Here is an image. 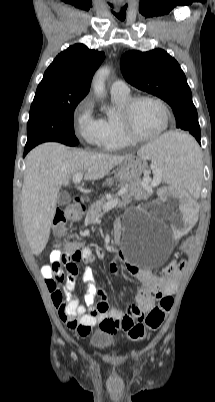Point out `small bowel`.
Masks as SVG:
<instances>
[{"label":"small bowel","mask_w":215,"mask_h":402,"mask_svg":"<svg viewBox=\"0 0 215 402\" xmlns=\"http://www.w3.org/2000/svg\"><path fill=\"white\" fill-rule=\"evenodd\" d=\"M77 251L81 252V257L76 262L81 261L85 265H89L96 260L92 250L83 244H80L79 249L71 250V255H66V250L53 251L51 258L52 260L72 262L73 255ZM117 262L118 258H115L109 265L113 273L118 271ZM128 268L142 283V287L135 298V303L125 310L109 309L107 294L97 286L90 270H86L84 273L87 292L83 303H80L73 294L76 288L77 266H75V270H68L65 274L63 269L56 270L51 265H45L42 267L41 273L46 280L52 279L62 285L65 301L59 308V317L71 331L84 337L91 332L95 325H99L102 330L109 333L118 330L128 331L136 321H140L154 307L157 299L165 296L172 297L176 291L178 275H169L165 272L164 275L157 276L135 265H129ZM96 297H100L98 303L95 302Z\"/></svg>","instance_id":"1"}]
</instances>
